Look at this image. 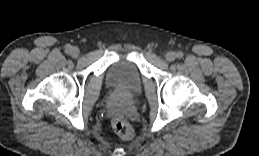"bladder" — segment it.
<instances>
[{"mask_svg": "<svg viewBox=\"0 0 259 156\" xmlns=\"http://www.w3.org/2000/svg\"><path fill=\"white\" fill-rule=\"evenodd\" d=\"M106 83L112 89L135 96L141 92L143 76L133 61L123 59L109 68Z\"/></svg>", "mask_w": 259, "mask_h": 156, "instance_id": "obj_1", "label": "bladder"}]
</instances>
